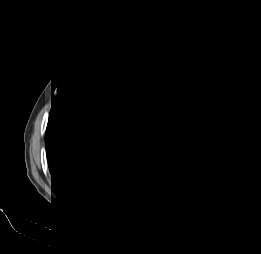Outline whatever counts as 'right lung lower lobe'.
<instances>
[{
  "mask_svg": "<svg viewBox=\"0 0 261 254\" xmlns=\"http://www.w3.org/2000/svg\"><path fill=\"white\" fill-rule=\"evenodd\" d=\"M103 143L101 133L78 122L50 118L45 146L49 170L57 188L79 200L97 199L106 187L105 179L110 172L109 162L97 156Z\"/></svg>",
  "mask_w": 261,
  "mask_h": 254,
  "instance_id": "right-lung-lower-lobe-1",
  "label": "right lung lower lobe"
}]
</instances>
